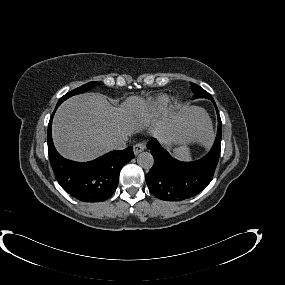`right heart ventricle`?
I'll list each match as a JSON object with an SVG mask.
<instances>
[{"mask_svg":"<svg viewBox=\"0 0 285 285\" xmlns=\"http://www.w3.org/2000/svg\"><path fill=\"white\" fill-rule=\"evenodd\" d=\"M170 101V97L167 94H163L158 96L145 110L144 115L147 118L154 117L165 110L168 103Z\"/></svg>","mask_w":285,"mask_h":285,"instance_id":"1","label":"right heart ventricle"}]
</instances>
